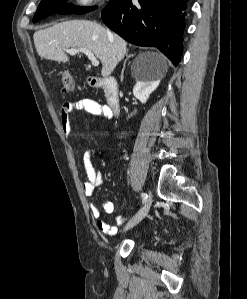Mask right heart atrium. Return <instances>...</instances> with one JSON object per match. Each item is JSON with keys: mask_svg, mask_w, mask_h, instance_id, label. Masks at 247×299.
<instances>
[{"mask_svg": "<svg viewBox=\"0 0 247 299\" xmlns=\"http://www.w3.org/2000/svg\"><path fill=\"white\" fill-rule=\"evenodd\" d=\"M102 0H74V5L79 9H87L100 5Z\"/></svg>", "mask_w": 247, "mask_h": 299, "instance_id": "1", "label": "right heart atrium"}]
</instances>
